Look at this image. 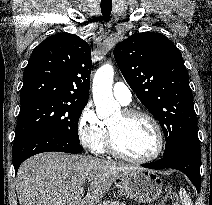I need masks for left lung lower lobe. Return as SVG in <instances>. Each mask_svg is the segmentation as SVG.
I'll return each instance as SVG.
<instances>
[{"mask_svg":"<svg viewBox=\"0 0 212 205\" xmlns=\"http://www.w3.org/2000/svg\"><path fill=\"white\" fill-rule=\"evenodd\" d=\"M200 159L201 150L197 134L190 136L177 150L162 159L143 164L142 167L150 169L173 168L183 172L200 192Z\"/></svg>","mask_w":212,"mask_h":205,"instance_id":"obj_1","label":"left lung lower lobe"}]
</instances>
